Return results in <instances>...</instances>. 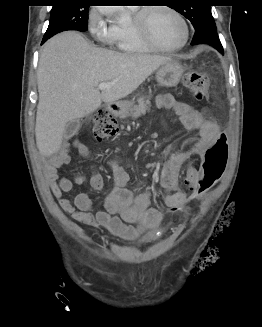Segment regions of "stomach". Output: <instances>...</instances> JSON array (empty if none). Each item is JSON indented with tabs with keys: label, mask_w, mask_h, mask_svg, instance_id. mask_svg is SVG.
Segmentation results:
<instances>
[{
	"label": "stomach",
	"mask_w": 262,
	"mask_h": 327,
	"mask_svg": "<svg viewBox=\"0 0 262 327\" xmlns=\"http://www.w3.org/2000/svg\"><path fill=\"white\" fill-rule=\"evenodd\" d=\"M184 72L183 66L177 61H170L162 65L156 72V80L161 86L173 87L176 86ZM131 102H119L116 104L117 109L112 111L121 117H126L131 111Z\"/></svg>",
	"instance_id": "0dacf381"
}]
</instances>
